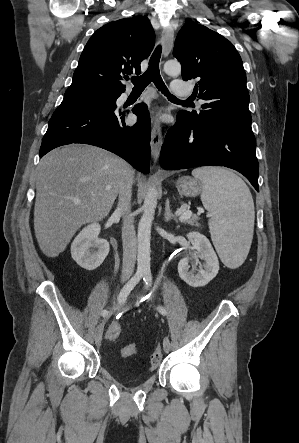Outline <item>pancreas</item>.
<instances>
[{
    "instance_id": "cf45deb5",
    "label": "pancreas",
    "mask_w": 299,
    "mask_h": 443,
    "mask_svg": "<svg viewBox=\"0 0 299 443\" xmlns=\"http://www.w3.org/2000/svg\"><path fill=\"white\" fill-rule=\"evenodd\" d=\"M188 223L191 224V225L199 226V224L197 223V219L196 218H192L191 220L188 221Z\"/></svg>"
}]
</instances>
